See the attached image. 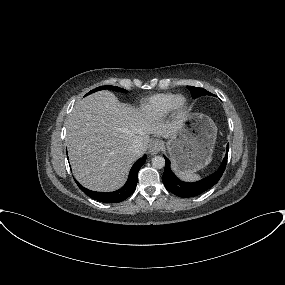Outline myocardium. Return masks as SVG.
I'll return each instance as SVG.
<instances>
[{
	"label": "myocardium",
	"instance_id": "obj_1",
	"mask_svg": "<svg viewBox=\"0 0 285 285\" xmlns=\"http://www.w3.org/2000/svg\"><path fill=\"white\" fill-rule=\"evenodd\" d=\"M187 109H188L187 99L182 95L177 96L172 104V110H174L175 114L178 117H183L187 112Z\"/></svg>",
	"mask_w": 285,
	"mask_h": 285
}]
</instances>
